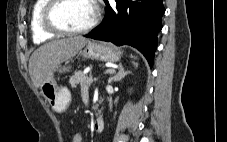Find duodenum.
I'll return each instance as SVG.
<instances>
[{"label":"duodenum","instance_id":"410a0bca","mask_svg":"<svg viewBox=\"0 0 227 142\" xmlns=\"http://www.w3.org/2000/svg\"><path fill=\"white\" fill-rule=\"evenodd\" d=\"M93 129L95 132H102L104 129V118L102 116H97L93 122Z\"/></svg>","mask_w":227,"mask_h":142}]
</instances>
